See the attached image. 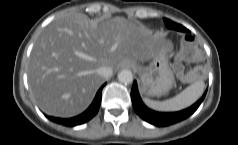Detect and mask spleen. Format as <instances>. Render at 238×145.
<instances>
[{"instance_id": "obj_1", "label": "spleen", "mask_w": 238, "mask_h": 145, "mask_svg": "<svg viewBox=\"0 0 238 145\" xmlns=\"http://www.w3.org/2000/svg\"><path fill=\"white\" fill-rule=\"evenodd\" d=\"M204 88V82L198 80L171 99L154 101L144 98V102L148 107L157 111H179L195 103L203 94Z\"/></svg>"}]
</instances>
